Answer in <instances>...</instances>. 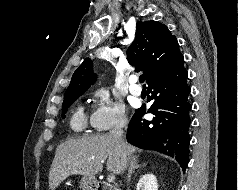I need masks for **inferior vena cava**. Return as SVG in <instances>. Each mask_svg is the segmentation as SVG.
I'll list each match as a JSON object with an SVG mask.
<instances>
[{
  "instance_id": "obj_1",
  "label": "inferior vena cava",
  "mask_w": 238,
  "mask_h": 190,
  "mask_svg": "<svg viewBox=\"0 0 238 190\" xmlns=\"http://www.w3.org/2000/svg\"><path fill=\"white\" fill-rule=\"evenodd\" d=\"M126 124H127V120L121 119L115 125L114 129L110 132V135L113 137L118 148L121 151V159H122V166H123L122 171H124L127 168V159H126L125 154L123 153V144H124L123 128L126 126Z\"/></svg>"
}]
</instances>
